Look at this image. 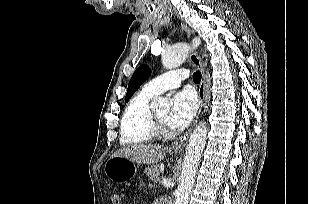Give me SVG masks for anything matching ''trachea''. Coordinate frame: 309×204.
Instances as JSON below:
<instances>
[{"label": "trachea", "instance_id": "obj_1", "mask_svg": "<svg viewBox=\"0 0 309 204\" xmlns=\"http://www.w3.org/2000/svg\"><path fill=\"white\" fill-rule=\"evenodd\" d=\"M201 73L199 71H196L194 74H193V81L195 83H200L201 81Z\"/></svg>", "mask_w": 309, "mask_h": 204}]
</instances>
